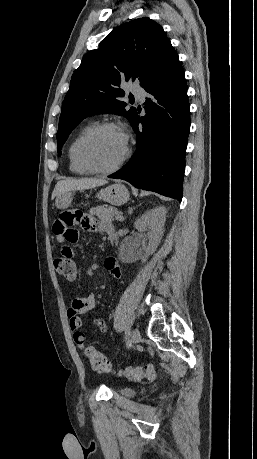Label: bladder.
Returning <instances> with one entry per match:
<instances>
[{
	"label": "bladder",
	"instance_id": "1",
	"mask_svg": "<svg viewBox=\"0 0 257 459\" xmlns=\"http://www.w3.org/2000/svg\"><path fill=\"white\" fill-rule=\"evenodd\" d=\"M119 393L123 396L132 397L137 394V391L132 387H123L119 390Z\"/></svg>",
	"mask_w": 257,
	"mask_h": 459
}]
</instances>
